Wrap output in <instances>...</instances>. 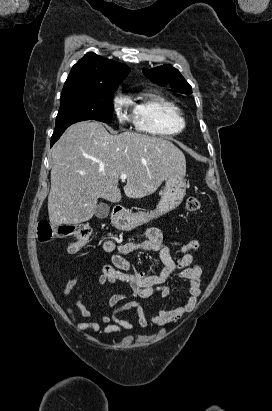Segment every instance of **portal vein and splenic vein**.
I'll return each instance as SVG.
<instances>
[{
    "label": "portal vein and splenic vein",
    "instance_id": "18ae733b",
    "mask_svg": "<svg viewBox=\"0 0 272 411\" xmlns=\"http://www.w3.org/2000/svg\"><path fill=\"white\" fill-rule=\"evenodd\" d=\"M127 178V174L126 173H122L121 175H120V179L121 180H125Z\"/></svg>",
    "mask_w": 272,
    "mask_h": 411
}]
</instances>
